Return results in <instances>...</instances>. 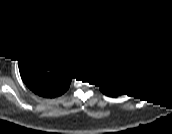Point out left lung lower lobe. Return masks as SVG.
<instances>
[{
    "mask_svg": "<svg viewBox=\"0 0 172 134\" xmlns=\"http://www.w3.org/2000/svg\"><path fill=\"white\" fill-rule=\"evenodd\" d=\"M102 92H103L104 94L108 95V96H113V95H114V94H112V93L106 92L104 89H102Z\"/></svg>",
    "mask_w": 172,
    "mask_h": 134,
    "instance_id": "obj_1",
    "label": "left lung lower lobe"
}]
</instances>
